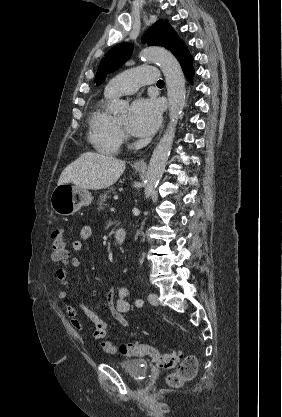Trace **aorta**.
<instances>
[{
    "label": "aorta",
    "instance_id": "obj_1",
    "mask_svg": "<svg viewBox=\"0 0 282 417\" xmlns=\"http://www.w3.org/2000/svg\"><path fill=\"white\" fill-rule=\"evenodd\" d=\"M139 56L146 60H154L165 76L167 84V96L169 102L170 122L158 144H156L150 158L145 180V198H149L152 190L156 188L166 166L168 156L171 152L175 126L183 110L186 98L185 76L183 70L174 54L162 48V46H149L143 48ZM129 104L125 100L115 98L112 102V112H125Z\"/></svg>",
    "mask_w": 282,
    "mask_h": 417
}]
</instances>
